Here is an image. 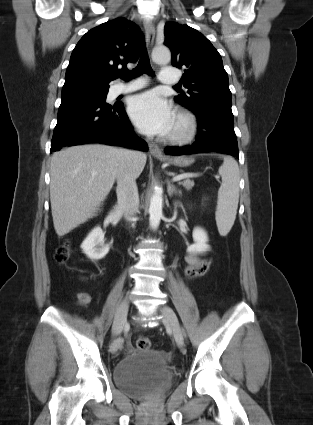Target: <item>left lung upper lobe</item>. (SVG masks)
Returning <instances> with one entry per match:
<instances>
[{
    "label": "left lung upper lobe",
    "instance_id": "5c2ea615",
    "mask_svg": "<svg viewBox=\"0 0 313 425\" xmlns=\"http://www.w3.org/2000/svg\"><path fill=\"white\" fill-rule=\"evenodd\" d=\"M164 33V44L172 51L171 63L184 68L181 83L188 89V95L183 93L175 100L192 111L209 106L231 109L228 75L211 42L197 30L176 22L166 23Z\"/></svg>",
    "mask_w": 313,
    "mask_h": 425
}]
</instances>
